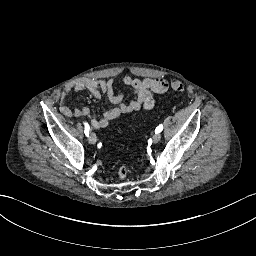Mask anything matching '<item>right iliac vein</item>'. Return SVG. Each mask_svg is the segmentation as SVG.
<instances>
[{"label": "right iliac vein", "instance_id": "63e3f726", "mask_svg": "<svg viewBox=\"0 0 256 256\" xmlns=\"http://www.w3.org/2000/svg\"><path fill=\"white\" fill-rule=\"evenodd\" d=\"M88 140H89V143H90V144H95L96 141H97V137H96L95 133L92 132V133L89 135Z\"/></svg>", "mask_w": 256, "mask_h": 256}]
</instances>
